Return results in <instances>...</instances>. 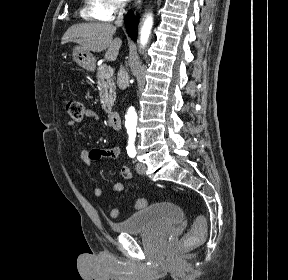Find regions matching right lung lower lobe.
<instances>
[{
	"mask_svg": "<svg viewBox=\"0 0 288 280\" xmlns=\"http://www.w3.org/2000/svg\"><path fill=\"white\" fill-rule=\"evenodd\" d=\"M137 23H138V18L134 17L133 11L130 10L125 17V27L127 29L128 35L134 41L136 40L135 29H136Z\"/></svg>",
	"mask_w": 288,
	"mask_h": 280,
	"instance_id": "1",
	"label": "right lung lower lobe"
}]
</instances>
